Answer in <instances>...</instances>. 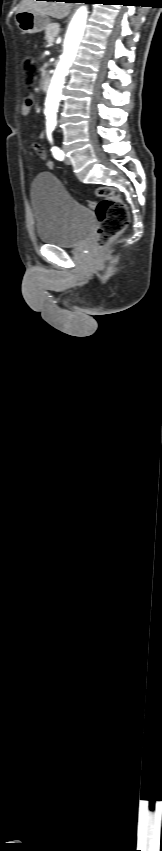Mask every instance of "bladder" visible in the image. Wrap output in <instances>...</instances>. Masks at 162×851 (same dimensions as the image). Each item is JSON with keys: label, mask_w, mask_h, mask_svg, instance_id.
<instances>
[{"label": "bladder", "mask_w": 162, "mask_h": 851, "mask_svg": "<svg viewBox=\"0 0 162 851\" xmlns=\"http://www.w3.org/2000/svg\"><path fill=\"white\" fill-rule=\"evenodd\" d=\"M31 202L36 235L42 243L74 248L90 236L93 212L73 199L53 174L43 173L33 180Z\"/></svg>", "instance_id": "bladder-1"}]
</instances>
